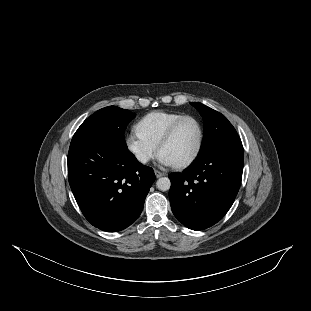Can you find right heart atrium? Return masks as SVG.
<instances>
[{"instance_id": "1", "label": "right heart atrium", "mask_w": 311, "mask_h": 311, "mask_svg": "<svg viewBox=\"0 0 311 311\" xmlns=\"http://www.w3.org/2000/svg\"><path fill=\"white\" fill-rule=\"evenodd\" d=\"M125 147L132 158L142 166L147 165L157 155V149L142 140L134 131L125 137Z\"/></svg>"}]
</instances>
